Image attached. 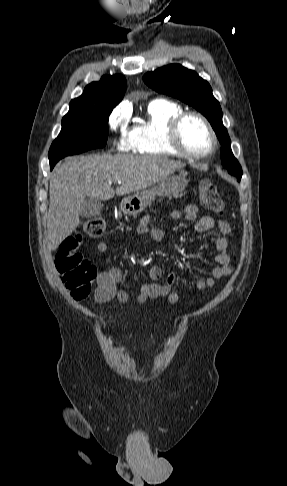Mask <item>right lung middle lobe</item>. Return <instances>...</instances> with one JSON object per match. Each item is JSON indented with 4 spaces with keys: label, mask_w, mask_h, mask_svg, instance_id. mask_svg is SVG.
Segmentation results:
<instances>
[{
    "label": "right lung middle lobe",
    "mask_w": 287,
    "mask_h": 486,
    "mask_svg": "<svg viewBox=\"0 0 287 486\" xmlns=\"http://www.w3.org/2000/svg\"><path fill=\"white\" fill-rule=\"evenodd\" d=\"M111 111L112 108L104 106L70 108L62 119L59 136L50 147V164H56L67 155L105 146Z\"/></svg>",
    "instance_id": "obj_1"
}]
</instances>
